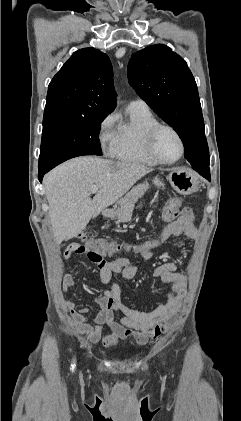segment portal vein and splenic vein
<instances>
[{
  "instance_id": "1",
  "label": "portal vein and splenic vein",
  "mask_w": 241,
  "mask_h": 421,
  "mask_svg": "<svg viewBox=\"0 0 241 421\" xmlns=\"http://www.w3.org/2000/svg\"><path fill=\"white\" fill-rule=\"evenodd\" d=\"M98 189H99V186H97V185H93V186H91V188H90V192H91V193H96V192L98 191Z\"/></svg>"
}]
</instances>
